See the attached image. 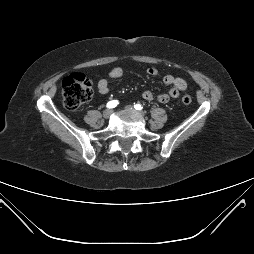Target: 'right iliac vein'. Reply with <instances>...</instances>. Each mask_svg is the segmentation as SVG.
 <instances>
[{"instance_id": "right-iliac-vein-1", "label": "right iliac vein", "mask_w": 254, "mask_h": 254, "mask_svg": "<svg viewBox=\"0 0 254 254\" xmlns=\"http://www.w3.org/2000/svg\"><path fill=\"white\" fill-rule=\"evenodd\" d=\"M112 112H113V111H112L111 109H106V110H104V112H103V117L106 118V119H108V118L111 116Z\"/></svg>"}]
</instances>
